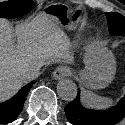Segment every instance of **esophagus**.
Returning <instances> with one entry per match:
<instances>
[{
    "instance_id": "esophagus-1",
    "label": "esophagus",
    "mask_w": 125,
    "mask_h": 125,
    "mask_svg": "<svg viewBox=\"0 0 125 125\" xmlns=\"http://www.w3.org/2000/svg\"><path fill=\"white\" fill-rule=\"evenodd\" d=\"M72 73V69L67 66H60L53 72V77L56 80H60L64 77L70 76Z\"/></svg>"
}]
</instances>
